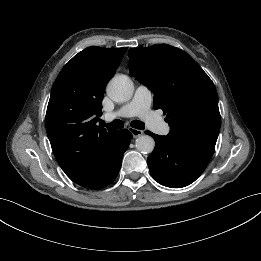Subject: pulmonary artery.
<instances>
[{
  "label": "pulmonary artery",
  "mask_w": 261,
  "mask_h": 261,
  "mask_svg": "<svg viewBox=\"0 0 261 261\" xmlns=\"http://www.w3.org/2000/svg\"><path fill=\"white\" fill-rule=\"evenodd\" d=\"M152 93L144 85H139L134 93L132 100L118 110L104 115L105 119L113 120L118 117H140L152 130L160 134H167L169 127L151 110Z\"/></svg>",
  "instance_id": "e3ab8cb5"
}]
</instances>
